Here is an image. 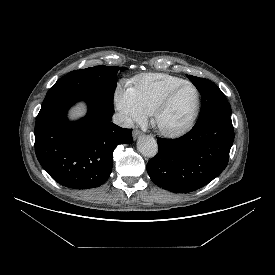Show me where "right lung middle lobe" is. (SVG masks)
<instances>
[{
    "mask_svg": "<svg viewBox=\"0 0 275 275\" xmlns=\"http://www.w3.org/2000/svg\"><path fill=\"white\" fill-rule=\"evenodd\" d=\"M116 66H95L72 71L60 78L48 91L46 97L68 93H85L98 96L113 105V94L116 88Z\"/></svg>",
    "mask_w": 275,
    "mask_h": 275,
    "instance_id": "dd1d6c3e",
    "label": "right lung middle lobe"
}]
</instances>
